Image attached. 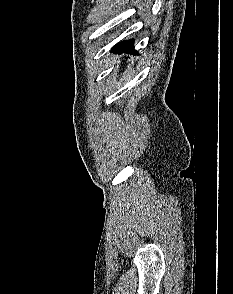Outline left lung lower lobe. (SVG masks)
<instances>
[{
  "label": "left lung lower lobe",
  "instance_id": "obj_1",
  "mask_svg": "<svg viewBox=\"0 0 233 294\" xmlns=\"http://www.w3.org/2000/svg\"><path fill=\"white\" fill-rule=\"evenodd\" d=\"M112 52L113 53H131V54H137L136 50H134V43L132 40L129 41H123L120 42L118 44H116L113 48H112Z\"/></svg>",
  "mask_w": 233,
  "mask_h": 294
}]
</instances>
